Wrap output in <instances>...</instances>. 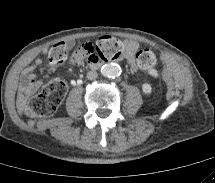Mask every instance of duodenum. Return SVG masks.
<instances>
[{"mask_svg": "<svg viewBox=\"0 0 215 183\" xmlns=\"http://www.w3.org/2000/svg\"><path fill=\"white\" fill-rule=\"evenodd\" d=\"M100 65H101V62H93L92 63V66L95 68L99 67Z\"/></svg>", "mask_w": 215, "mask_h": 183, "instance_id": "410a0bca", "label": "duodenum"}]
</instances>
